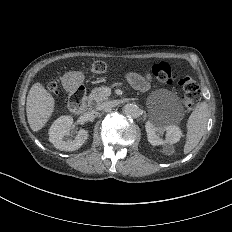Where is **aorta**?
I'll return each instance as SVG.
<instances>
[{"mask_svg":"<svg viewBox=\"0 0 232 232\" xmlns=\"http://www.w3.org/2000/svg\"><path fill=\"white\" fill-rule=\"evenodd\" d=\"M123 112L129 118H137L140 116V108L136 104H126L123 107Z\"/></svg>","mask_w":232,"mask_h":232,"instance_id":"aorta-1","label":"aorta"}]
</instances>
